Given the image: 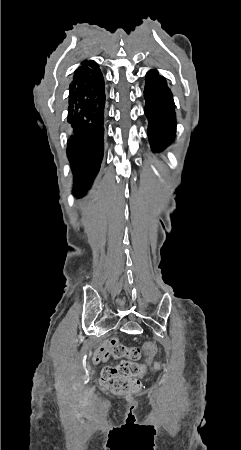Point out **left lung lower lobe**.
Listing matches in <instances>:
<instances>
[{"label":"left lung lower lobe","instance_id":"obj_1","mask_svg":"<svg viewBox=\"0 0 241 450\" xmlns=\"http://www.w3.org/2000/svg\"><path fill=\"white\" fill-rule=\"evenodd\" d=\"M144 98L150 145L154 152H160L174 139L176 115L171 90L165 78L155 69L146 75Z\"/></svg>","mask_w":241,"mask_h":450}]
</instances>
